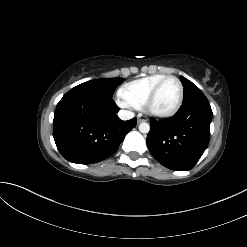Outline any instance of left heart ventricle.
Returning <instances> with one entry per match:
<instances>
[{"instance_id": "1", "label": "left heart ventricle", "mask_w": 247, "mask_h": 247, "mask_svg": "<svg viewBox=\"0 0 247 247\" xmlns=\"http://www.w3.org/2000/svg\"><path fill=\"white\" fill-rule=\"evenodd\" d=\"M179 99V85L174 79L167 80L156 95L151 109L156 113H165L174 108Z\"/></svg>"}]
</instances>
